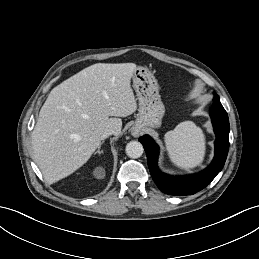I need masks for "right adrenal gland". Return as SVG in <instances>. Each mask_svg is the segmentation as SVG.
<instances>
[{
  "instance_id": "right-adrenal-gland-1",
  "label": "right adrenal gland",
  "mask_w": 259,
  "mask_h": 259,
  "mask_svg": "<svg viewBox=\"0 0 259 259\" xmlns=\"http://www.w3.org/2000/svg\"><path fill=\"white\" fill-rule=\"evenodd\" d=\"M104 142H101L97 151L95 152V154H103V151H100V148H101V145L103 144Z\"/></svg>"
}]
</instances>
